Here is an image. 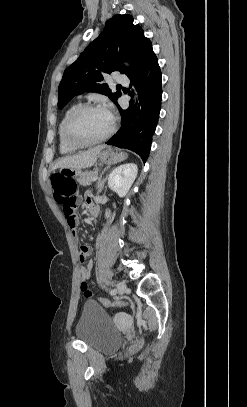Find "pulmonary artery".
Returning <instances> with one entry per match:
<instances>
[{
    "label": "pulmonary artery",
    "mask_w": 247,
    "mask_h": 407,
    "mask_svg": "<svg viewBox=\"0 0 247 407\" xmlns=\"http://www.w3.org/2000/svg\"><path fill=\"white\" fill-rule=\"evenodd\" d=\"M114 80H115L117 83H120V84H128V83H129V78H128V76H126V75H124V74H120V73H116V74H115Z\"/></svg>",
    "instance_id": "pulmonary-artery-1"
}]
</instances>
